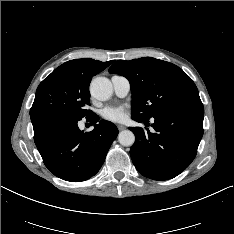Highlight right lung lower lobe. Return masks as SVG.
Masks as SVG:
<instances>
[{"label":"right lung lower lobe","mask_w":234,"mask_h":234,"mask_svg":"<svg viewBox=\"0 0 234 234\" xmlns=\"http://www.w3.org/2000/svg\"><path fill=\"white\" fill-rule=\"evenodd\" d=\"M30 116L34 141L45 166L55 176L67 181L80 182L94 176L118 135L113 123L99 121L95 113L86 117L94 124V129L86 133L77 125L82 118L53 111Z\"/></svg>","instance_id":"obj_1"}]
</instances>
